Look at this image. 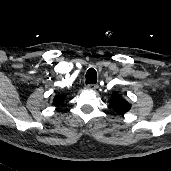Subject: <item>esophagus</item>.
Returning a JSON list of instances; mask_svg holds the SVG:
<instances>
[{
	"mask_svg": "<svg viewBox=\"0 0 171 171\" xmlns=\"http://www.w3.org/2000/svg\"><path fill=\"white\" fill-rule=\"evenodd\" d=\"M86 87H87V89H90V90H96L98 88V85L97 84H88Z\"/></svg>",
	"mask_w": 171,
	"mask_h": 171,
	"instance_id": "1",
	"label": "esophagus"
}]
</instances>
